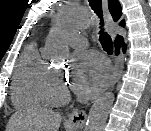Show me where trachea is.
<instances>
[{"label": "trachea", "mask_w": 151, "mask_h": 131, "mask_svg": "<svg viewBox=\"0 0 151 131\" xmlns=\"http://www.w3.org/2000/svg\"><path fill=\"white\" fill-rule=\"evenodd\" d=\"M89 1V5L91 6V8L94 10V12L98 15V17L101 19L100 21V32H99V41L102 45V48L104 51H106L108 54H112L113 53V42L112 39L110 37V35H108L107 32L104 31L103 26H104V22L102 20L103 18V12H102V0H88Z\"/></svg>", "instance_id": "3493384b"}]
</instances>
